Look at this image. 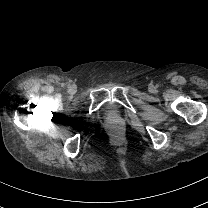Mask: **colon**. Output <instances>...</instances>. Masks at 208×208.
Masks as SVG:
<instances>
[{
  "mask_svg": "<svg viewBox=\"0 0 208 208\" xmlns=\"http://www.w3.org/2000/svg\"><path fill=\"white\" fill-rule=\"evenodd\" d=\"M114 137H115V138H118V137H119V134H118V133H115V134H114Z\"/></svg>",
  "mask_w": 208,
  "mask_h": 208,
  "instance_id": "1",
  "label": "colon"
}]
</instances>
